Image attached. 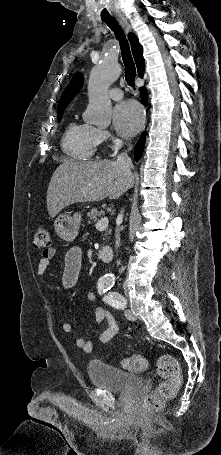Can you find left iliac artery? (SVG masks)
<instances>
[{"instance_id":"obj_1","label":"left iliac artery","mask_w":221,"mask_h":455,"mask_svg":"<svg viewBox=\"0 0 221 455\" xmlns=\"http://www.w3.org/2000/svg\"><path fill=\"white\" fill-rule=\"evenodd\" d=\"M112 286H102L98 288L99 294L106 293L111 289ZM103 301L110 304L117 309H124L126 305V299L118 292L109 291L104 297Z\"/></svg>"}]
</instances>
